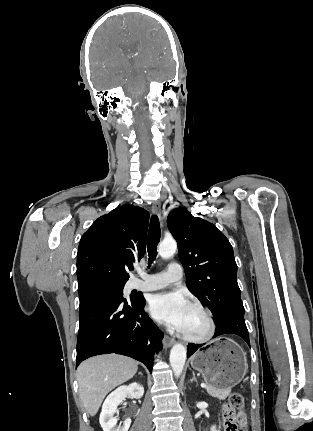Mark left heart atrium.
Instances as JSON below:
<instances>
[{
	"instance_id": "obj_1",
	"label": "left heart atrium",
	"mask_w": 313,
	"mask_h": 431,
	"mask_svg": "<svg viewBox=\"0 0 313 431\" xmlns=\"http://www.w3.org/2000/svg\"><path fill=\"white\" fill-rule=\"evenodd\" d=\"M189 302L180 292H164L154 295L149 303L151 315L167 326L183 331Z\"/></svg>"
}]
</instances>
